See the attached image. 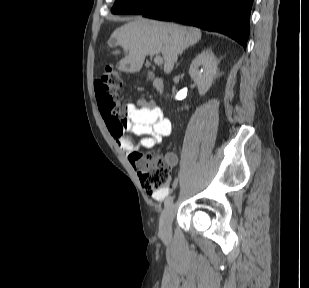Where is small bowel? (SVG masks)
Instances as JSON below:
<instances>
[{"mask_svg":"<svg viewBox=\"0 0 309 288\" xmlns=\"http://www.w3.org/2000/svg\"><path fill=\"white\" fill-rule=\"evenodd\" d=\"M140 108L132 106V110L125 122H117L105 119L109 134L116 140L119 147L129 156L136 153L140 147L154 148L159 145L162 138L171 133L172 123L163 114L162 109L153 101L139 100ZM136 135L140 137V144H135L131 137ZM167 160L172 166L178 163V157L174 152L167 154ZM169 190L152 195L153 200L162 202L168 195Z\"/></svg>","mask_w":309,"mask_h":288,"instance_id":"1","label":"small bowel"}]
</instances>
